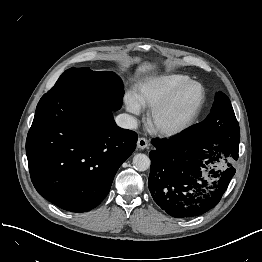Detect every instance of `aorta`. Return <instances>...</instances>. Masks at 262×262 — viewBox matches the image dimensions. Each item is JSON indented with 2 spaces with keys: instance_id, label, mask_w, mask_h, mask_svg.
I'll list each match as a JSON object with an SVG mask.
<instances>
[{
  "instance_id": "obj_1",
  "label": "aorta",
  "mask_w": 262,
  "mask_h": 262,
  "mask_svg": "<svg viewBox=\"0 0 262 262\" xmlns=\"http://www.w3.org/2000/svg\"><path fill=\"white\" fill-rule=\"evenodd\" d=\"M133 167L140 172L146 171L150 167V158L142 153L133 157Z\"/></svg>"
}]
</instances>
